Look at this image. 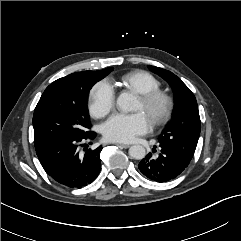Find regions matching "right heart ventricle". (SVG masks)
I'll return each mask as SVG.
<instances>
[{
  "label": "right heart ventricle",
  "instance_id": "e07e8e85",
  "mask_svg": "<svg viewBox=\"0 0 241 241\" xmlns=\"http://www.w3.org/2000/svg\"><path fill=\"white\" fill-rule=\"evenodd\" d=\"M119 84L127 91L137 95L160 89V81L149 72L131 71L119 79Z\"/></svg>",
  "mask_w": 241,
  "mask_h": 241
}]
</instances>
